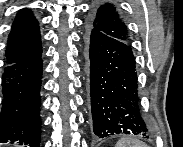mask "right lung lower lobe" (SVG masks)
Segmentation results:
<instances>
[{
	"label": "right lung lower lobe",
	"mask_w": 183,
	"mask_h": 147,
	"mask_svg": "<svg viewBox=\"0 0 183 147\" xmlns=\"http://www.w3.org/2000/svg\"><path fill=\"white\" fill-rule=\"evenodd\" d=\"M41 52L29 59L6 64L2 75L3 103L0 143L40 144Z\"/></svg>",
	"instance_id": "98d812e1"
}]
</instances>
